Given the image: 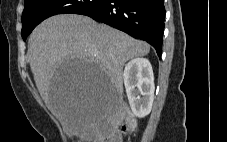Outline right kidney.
I'll list each match as a JSON object with an SVG mask.
<instances>
[{"label": "right kidney", "mask_w": 227, "mask_h": 142, "mask_svg": "<svg viewBox=\"0 0 227 142\" xmlns=\"http://www.w3.org/2000/svg\"><path fill=\"white\" fill-rule=\"evenodd\" d=\"M124 84L131 110L138 118L147 116L154 100V75L148 59L136 58L125 66Z\"/></svg>", "instance_id": "right-kidney-1"}]
</instances>
